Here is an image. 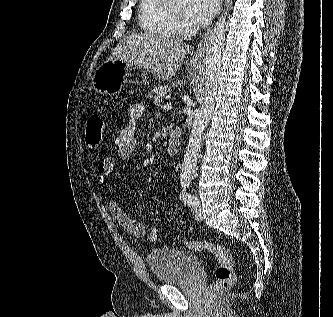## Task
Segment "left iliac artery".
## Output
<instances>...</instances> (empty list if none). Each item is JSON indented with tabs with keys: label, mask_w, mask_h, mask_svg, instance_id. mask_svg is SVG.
<instances>
[{
	"label": "left iliac artery",
	"mask_w": 333,
	"mask_h": 317,
	"mask_svg": "<svg viewBox=\"0 0 333 317\" xmlns=\"http://www.w3.org/2000/svg\"><path fill=\"white\" fill-rule=\"evenodd\" d=\"M187 188H188V185H186V184L182 185V190H181V193H180V199L185 204L192 207L197 202V198L194 195H192L191 193H188L186 191Z\"/></svg>",
	"instance_id": "1"
}]
</instances>
